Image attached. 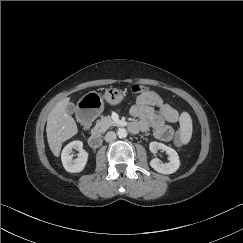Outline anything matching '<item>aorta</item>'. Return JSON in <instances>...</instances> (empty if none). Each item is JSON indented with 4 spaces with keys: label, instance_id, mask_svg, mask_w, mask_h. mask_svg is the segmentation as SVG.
Here are the masks:
<instances>
[{
    "label": "aorta",
    "instance_id": "aorta-1",
    "mask_svg": "<svg viewBox=\"0 0 243 243\" xmlns=\"http://www.w3.org/2000/svg\"><path fill=\"white\" fill-rule=\"evenodd\" d=\"M117 135L119 138H125L127 136V130L125 128H119L117 130Z\"/></svg>",
    "mask_w": 243,
    "mask_h": 243
}]
</instances>
